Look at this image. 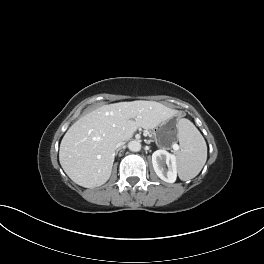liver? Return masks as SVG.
<instances>
[{"instance_id": "6515ba94", "label": "liver", "mask_w": 264, "mask_h": 264, "mask_svg": "<svg viewBox=\"0 0 264 264\" xmlns=\"http://www.w3.org/2000/svg\"><path fill=\"white\" fill-rule=\"evenodd\" d=\"M174 110L155 101L119 102L103 105L79 118L65 133L59 161L76 184L94 188L111 175L118 141L129 140L142 127H157Z\"/></svg>"}]
</instances>
